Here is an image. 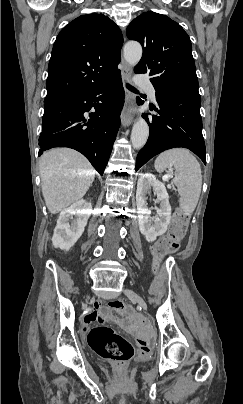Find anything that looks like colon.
Instances as JSON below:
<instances>
[{
  "label": "colon",
  "mask_w": 243,
  "mask_h": 404,
  "mask_svg": "<svg viewBox=\"0 0 243 404\" xmlns=\"http://www.w3.org/2000/svg\"><path fill=\"white\" fill-rule=\"evenodd\" d=\"M188 219L189 216L185 211L179 209L175 212L169 231L153 247L155 265H159L167 255L178 250L187 229ZM109 305L119 312L133 314V309L120 299L110 301ZM88 340L101 357L119 364H125L134 355L132 344L108 326L92 328L89 331ZM152 347V340L138 341V353L141 355H148Z\"/></svg>",
  "instance_id": "obj_1"
}]
</instances>
